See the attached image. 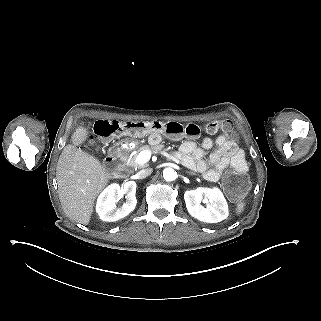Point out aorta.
Segmentation results:
<instances>
[{"label":"aorta","instance_id":"obj_1","mask_svg":"<svg viewBox=\"0 0 321 321\" xmlns=\"http://www.w3.org/2000/svg\"><path fill=\"white\" fill-rule=\"evenodd\" d=\"M163 177L166 181H173L176 178V172L172 168H165L163 170Z\"/></svg>","mask_w":321,"mask_h":321}]
</instances>
